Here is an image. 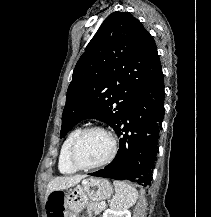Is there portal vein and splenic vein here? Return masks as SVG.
Wrapping results in <instances>:
<instances>
[{"mask_svg": "<svg viewBox=\"0 0 211 217\" xmlns=\"http://www.w3.org/2000/svg\"><path fill=\"white\" fill-rule=\"evenodd\" d=\"M101 205H102V206H104V205H105V203H101Z\"/></svg>", "mask_w": 211, "mask_h": 217, "instance_id": "portal-vein-and-splenic-vein-1", "label": "portal vein and splenic vein"}]
</instances>
